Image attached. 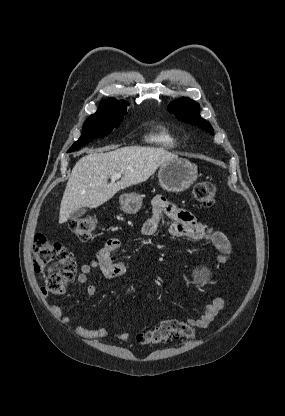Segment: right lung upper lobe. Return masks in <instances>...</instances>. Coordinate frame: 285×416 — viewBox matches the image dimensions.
I'll return each instance as SVG.
<instances>
[{
	"label": "right lung upper lobe",
	"instance_id": "cb5924a9",
	"mask_svg": "<svg viewBox=\"0 0 285 416\" xmlns=\"http://www.w3.org/2000/svg\"><path fill=\"white\" fill-rule=\"evenodd\" d=\"M127 105H129L125 101H118L116 99H109V100H103L98 108L99 111L103 110H121V109H127Z\"/></svg>",
	"mask_w": 285,
	"mask_h": 416
}]
</instances>
